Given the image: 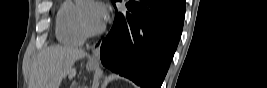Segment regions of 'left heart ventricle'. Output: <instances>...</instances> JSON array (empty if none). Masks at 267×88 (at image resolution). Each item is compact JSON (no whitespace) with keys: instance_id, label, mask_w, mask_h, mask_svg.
Returning <instances> with one entry per match:
<instances>
[{"instance_id":"left-heart-ventricle-1","label":"left heart ventricle","mask_w":267,"mask_h":88,"mask_svg":"<svg viewBox=\"0 0 267 88\" xmlns=\"http://www.w3.org/2000/svg\"><path fill=\"white\" fill-rule=\"evenodd\" d=\"M92 9H93V5L90 3H86L82 6V15L83 18L86 22V24L90 27V28H98L99 26L97 24H95L92 20Z\"/></svg>"}]
</instances>
